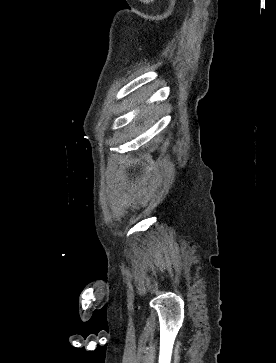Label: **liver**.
Masks as SVG:
<instances>
[{
  "label": "liver",
  "mask_w": 276,
  "mask_h": 363,
  "mask_svg": "<svg viewBox=\"0 0 276 363\" xmlns=\"http://www.w3.org/2000/svg\"><path fill=\"white\" fill-rule=\"evenodd\" d=\"M153 108V106L149 107L148 109H146L145 111H150Z\"/></svg>",
  "instance_id": "liver-1"
}]
</instances>
